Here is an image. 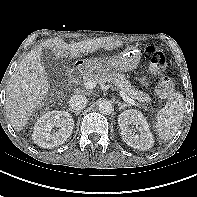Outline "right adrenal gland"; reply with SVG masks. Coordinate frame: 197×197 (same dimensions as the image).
<instances>
[{
	"mask_svg": "<svg viewBox=\"0 0 197 197\" xmlns=\"http://www.w3.org/2000/svg\"><path fill=\"white\" fill-rule=\"evenodd\" d=\"M69 111L75 113L76 116L79 115V113H80V112H75L72 109H69Z\"/></svg>",
	"mask_w": 197,
	"mask_h": 197,
	"instance_id": "1",
	"label": "right adrenal gland"
}]
</instances>
